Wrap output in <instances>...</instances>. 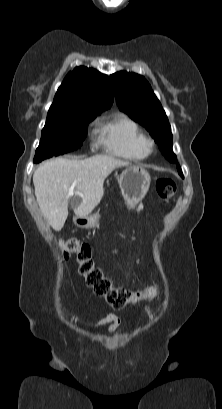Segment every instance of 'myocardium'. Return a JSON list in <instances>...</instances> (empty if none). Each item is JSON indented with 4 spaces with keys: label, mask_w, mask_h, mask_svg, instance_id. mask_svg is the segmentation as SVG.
I'll list each match as a JSON object with an SVG mask.
<instances>
[{
    "label": "myocardium",
    "mask_w": 222,
    "mask_h": 409,
    "mask_svg": "<svg viewBox=\"0 0 222 409\" xmlns=\"http://www.w3.org/2000/svg\"><path fill=\"white\" fill-rule=\"evenodd\" d=\"M154 148V142L152 139H146L145 140V149L148 152H151Z\"/></svg>",
    "instance_id": "myocardium-1"
}]
</instances>
